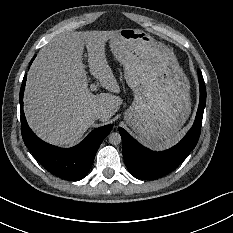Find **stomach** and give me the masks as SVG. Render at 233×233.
<instances>
[{"instance_id":"0dacf381","label":"stomach","mask_w":233,"mask_h":233,"mask_svg":"<svg viewBox=\"0 0 233 233\" xmlns=\"http://www.w3.org/2000/svg\"><path fill=\"white\" fill-rule=\"evenodd\" d=\"M109 47L134 95L126 123L146 144H167L191 111L189 80L176 56L141 29H119Z\"/></svg>"}]
</instances>
